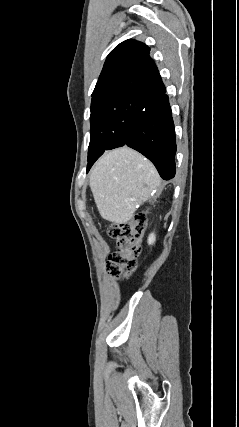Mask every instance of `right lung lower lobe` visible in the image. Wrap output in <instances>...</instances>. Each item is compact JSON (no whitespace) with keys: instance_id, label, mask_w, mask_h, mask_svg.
<instances>
[{"instance_id":"1","label":"right lung lower lobe","mask_w":239,"mask_h":427,"mask_svg":"<svg viewBox=\"0 0 239 427\" xmlns=\"http://www.w3.org/2000/svg\"><path fill=\"white\" fill-rule=\"evenodd\" d=\"M165 93L146 98V105L135 117L122 146L127 145L143 154L155 165L164 180H170L176 171V137Z\"/></svg>"}]
</instances>
